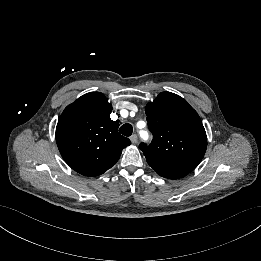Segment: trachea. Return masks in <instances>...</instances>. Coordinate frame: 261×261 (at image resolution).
Instances as JSON below:
<instances>
[{"label":"trachea","mask_w":261,"mask_h":261,"mask_svg":"<svg viewBox=\"0 0 261 261\" xmlns=\"http://www.w3.org/2000/svg\"><path fill=\"white\" fill-rule=\"evenodd\" d=\"M119 132L122 135L129 137L133 132V127L131 124L126 123L120 127Z\"/></svg>","instance_id":"3493384b"}]
</instances>
